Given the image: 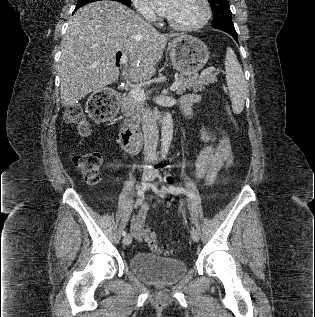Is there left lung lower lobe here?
Masks as SVG:
<instances>
[{"instance_id":"obj_1","label":"left lung lower lobe","mask_w":315,"mask_h":317,"mask_svg":"<svg viewBox=\"0 0 315 317\" xmlns=\"http://www.w3.org/2000/svg\"><path fill=\"white\" fill-rule=\"evenodd\" d=\"M217 29H221L227 33H229L230 35L233 36V38L236 40V42L238 43V37H237V32L235 29H230V28H217Z\"/></svg>"}]
</instances>
